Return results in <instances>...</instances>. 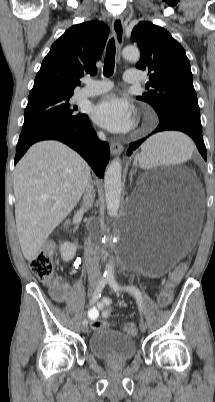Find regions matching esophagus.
Returning a JSON list of instances; mask_svg holds the SVG:
<instances>
[{
    "mask_svg": "<svg viewBox=\"0 0 215 402\" xmlns=\"http://www.w3.org/2000/svg\"><path fill=\"white\" fill-rule=\"evenodd\" d=\"M112 31L115 36L118 49L120 50L124 39V22L121 16H117L112 22ZM112 155H118L123 151V146L120 143L112 142L110 145Z\"/></svg>",
    "mask_w": 215,
    "mask_h": 402,
    "instance_id": "1",
    "label": "esophagus"
}]
</instances>
